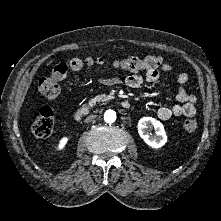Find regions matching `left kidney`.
Listing matches in <instances>:
<instances>
[{"label":"left kidney","instance_id":"obj_1","mask_svg":"<svg viewBox=\"0 0 221 221\" xmlns=\"http://www.w3.org/2000/svg\"><path fill=\"white\" fill-rule=\"evenodd\" d=\"M154 128L155 135H150L148 129ZM138 133L151 148H161L167 142V135L163 124L152 117H143L138 122Z\"/></svg>","mask_w":221,"mask_h":221}]
</instances>
